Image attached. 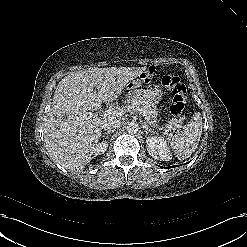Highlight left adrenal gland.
<instances>
[{
    "label": "left adrenal gland",
    "mask_w": 247,
    "mask_h": 247,
    "mask_svg": "<svg viewBox=\"0 0 247 247\" xmlns=\"http://www.w3.org/2000/svg\"><path fill=\"white\" fill-rule=\"evenodd\" d=\"M142 127L145 129L146 135H147L149 132H152V128H151L149 125H147L146 122L142 123Z\"/></svg>",
    "instance_id": "1"
}]
</instances>
